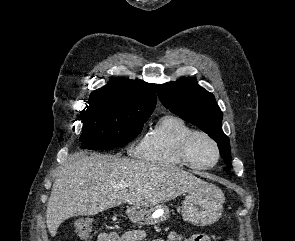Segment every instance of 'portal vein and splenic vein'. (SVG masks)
<instances>
[{
  "mask_svg": "<svg viewBox=\"0 0 295 241\" xmlns=\"http://www.w3.org/2000/svg\"><path fill=\"white\" fill-rule=\"evenodd\" d=\"M125 187H126L125 184H118V185H117V189H122V188H125Z\"/></svg>",
  "mask_w": 295,
  "mask_h": 241,
  "instance_id": "portal-vein-and-splenic-vein-1",
  "label": "portal vein and splenic vein"
}]
</instances>
